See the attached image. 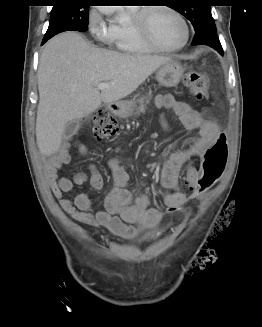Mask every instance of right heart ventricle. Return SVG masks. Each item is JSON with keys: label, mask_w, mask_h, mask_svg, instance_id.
<instances>
[{"label": "right heart ventricle", "mask_w": 262, "mask_h": 327, "mask_svg": "<svg viewBox=\"0 0 262 327\" xmlns=\"http://www.w3.org/2000/svg\"><path fill=\"white\" fill-rule=\"evenodd\" d=\"M138 12V9H129L131 20L128 23L117 22L113 25L114 40L116 48L120 51L132 54H149L156 50L151 48L138 34L134 25L133 19Z\"/></svg>", "instance_id": "right-heart-ventricle-1"}]
</instances>
